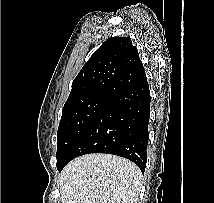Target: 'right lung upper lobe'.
<instances>
[{
    "label": "right lung upper lobe",
    "mask_w": 214,
    "mask_h": 203,
    "mask_svg": "<svg viewBox=\"0 0 214 203\" xmlns=\"http://www.w3.org/2000/svg\"><path fill=\"white\" fill-rule=\"evenodd\" d=\"M144 80L145 70L131 39L111 37L76 76L66 102L94 93L112 97Z\"/></svg>",
    "instance_id": "right-lung-upper-lobe-1"
}]
</instances>
